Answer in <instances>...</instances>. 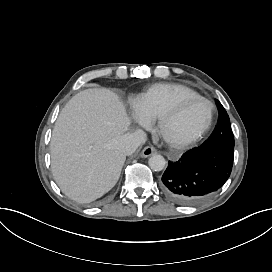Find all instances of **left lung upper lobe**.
Instances as JSON below:
<instances>
[{
    "mask_svg": "<svg viewBox=\"0 0 272 272\" xmlns=\"http://www.w3.org/2000/svg\"><path fill=\"white\" fill-rule=\"evenodd\" d=\"M215 102L219 111L218 126L202 146H218L234 149V136L230 126L229 116L222 104L218 100Z\"/></svg>",
    "mask_w": 272,
    "mask_h": 272,
    "instance_id": "left-lung-upper-lobe-1",
    "label": "left lung upper lobe"
}]
</instances>
